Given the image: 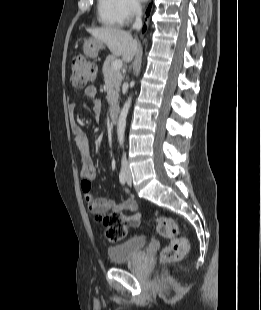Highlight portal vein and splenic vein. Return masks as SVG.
I'll list each match as a JSON object with an SVG mask.
<instances>
[{
	"instance_id": "18ae733b",
	"label": "portal vein and splenic vein",
	"mask_w": 261,
	"mask_h": 310,
	"mask_svg": "<svg viewBox=\"0 0 261 310\" xmlns=\"http://www.w3.org/2000/svg\"><path fill=\"white\" fill-rule=\"evenodd\" d=\"M123 62L122 60L116 59L112 64V69L120 70L122 68Z\"/></svg>"
}]
</instances>
